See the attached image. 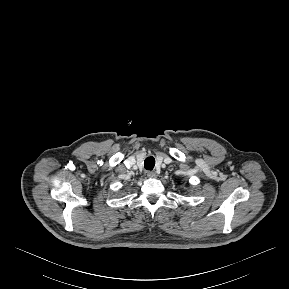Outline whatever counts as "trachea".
Segmentation results:
<instances>
[{
    "label": "trachea",
    "mask_w": 289,
    "mask_h": 289,
    "mask_svg": "<svg viewBox=\"0 0 289 289\" xmlns=\"http://www.w3.org/2000/svg\"><path fill=\"white\" fill-rule=\"evenodd\" d=\"M155 166V159L154 157L150 156L144 160V167L146 170H152Z\"/></svg>",
    "instance_id": "trachea-1"
}]
</instances>
